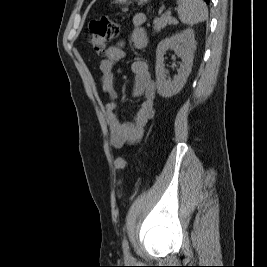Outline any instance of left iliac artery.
Returning <instances> with one entry per match:
<instances>
[{
  "label": "left iliac artery",
  "instance_id": "obj_1",
  "mask_svg": "<svg viewBox=\"0 0 267 267\" xmlns=\"http://www.w3.org/2000/svg\"><path fill=\"white\" fill-rule=\"evenodd\" d=\"M122 247H123L124 253L128 254L129 253V245H128V241L126 238H124V240H123Z\"/></svg>",
  "mask_w": 267,
  "mask_h": 267
}]
</instances>
